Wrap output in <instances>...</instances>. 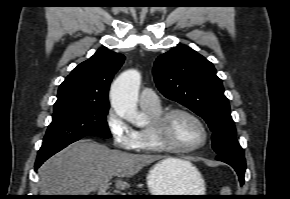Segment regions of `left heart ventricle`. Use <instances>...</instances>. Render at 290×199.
Listing matches in <instances>:
<instances>
[{
    "label": "left heart ventricle",
    "instance_id": "1",
    "mask_svg": "<svg viewBox=\"0 0 290 199\" xmlns=\"http://www.w3.org/2000/svg\"><path fill=\"white\" fill-rule=\"evenodd\" d=\"M166 137L176 146L188 148L202 141L203 132L195 120L186 115L177 114L168 123Z\"/></svg>",
    "mask_w": 290,
    "mask_h": 199
}]
</instances>
